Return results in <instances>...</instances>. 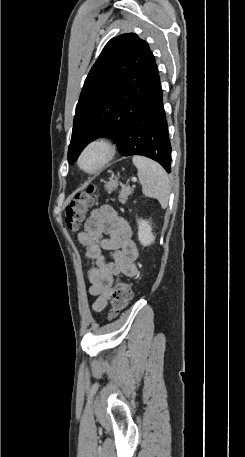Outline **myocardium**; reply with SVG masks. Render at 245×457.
<instances>
[{
    "mask_svg": "<svg viewBox=\"0 0 245 457\" xmlns=\"http://www.w3.org/2000/svg\"><path fill=\"white\" fill-rule=\"evenodd\" d=\"M91 154L99 155V161L94 167L88 168L85 166V159ZM113 155L114 149L110 140L104 138L94 139L88 143L87 147L79 156L78 164L86 173H97L110 162Z\"/></svg>",
    "mask_w": 245,
    "mask_h": 457,
    "instance_id": "1",
    "label": "myocardium"
}]
</instances>
